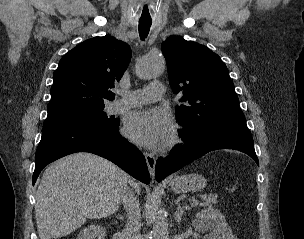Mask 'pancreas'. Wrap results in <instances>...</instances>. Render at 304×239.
<instances>
[{"label": "pancreas", "mask_w": 304, "mask_h": 239, "mask_svg": "<svg viewBox=\"0 0 304 239\" xmlns=\"http://www.w3.org/2000/svg\"><path fill=\"white\" fill-rule=\"evenodd\" d=\"M204 199H205L204 202L201 204V206H203V207H211L212 205H215L218 203L217 197L212 194L205 196Z\"/></svg>", "instance_id": "pancreas-1"}]
</instances>
